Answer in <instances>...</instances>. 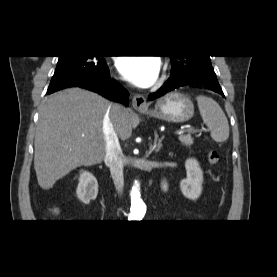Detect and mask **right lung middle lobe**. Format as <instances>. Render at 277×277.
<instances>
[{"mask_svg": "<svg viewBox=\"0 0 277 277\" xmlns=\"http://www.w3.org/2000/svg\"><path fill=\"white\" fill-rule=\"evenodd\" d=\"M107 72L108 66L100 56H59L48 90L63 88L78 81H98Z\"/></svg>", "mask_w": 277, "mask_h": 277, "instance_id": "1", "label": "right lung middle lobe"}]
</instances>
